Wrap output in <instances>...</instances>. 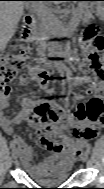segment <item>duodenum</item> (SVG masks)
<instances>
[{
    "label": "duodenum",
    "instance_id": "duodenum-1",
    "mask_svg": "<svg viewBox=\"0 0 104 189\" xmlns=\"http://www.w3.org/2000/svg\"><path fill=\"white\" fill-rule=\"evenodd\" d=\"M36 21L33 16H26L23 22V30L20 37V40L23 44H27L29 42H32L34 40V27H35Z\"/></svg>",
    "mask_w": 104,
    "mask_h": 189
}]
</instances>
